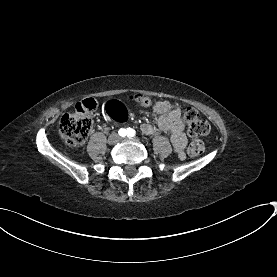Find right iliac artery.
Masks as SVG:
<instances>
[{
  "instance_id": "right-iliac-artery-1",
  "label": "right iliac artery",
  "mask_w": 277,
  "mask_h": 277,
  "mask_svg": "<svg viewBox=\"0 0 277 277\" xmlns=\"http://www.w3.org/2000/svg\"><path fill=\"white\" fill-rule=\"evenodd\" d=\"M118 133L120 136L125 137L128 134V130L121 128Z\"/></svg>"
}]
</instances>
